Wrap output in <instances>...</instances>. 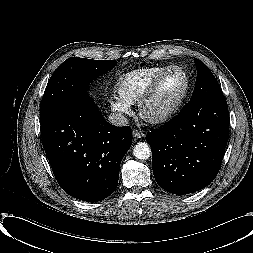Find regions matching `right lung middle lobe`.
Here are the masks:
<instances>
[{
    "label": "right lung middle lobe",
    "instance_id": "obj_1",
    "mask_svg": "<svg viewBox=\"0 0 253 253\" xmlns=\"http://www.w3.org/2000/svg\"><path fill=\"white\" fill-rule=\"evenodd\" d=\"M117 61L71 57L51 76L41 102L40 121L48 118L65 100L85 92L89 83L111 70Z\"/></svg>",
    "mask_w": 253,
    "mask_h": 253
}]
</instances>
